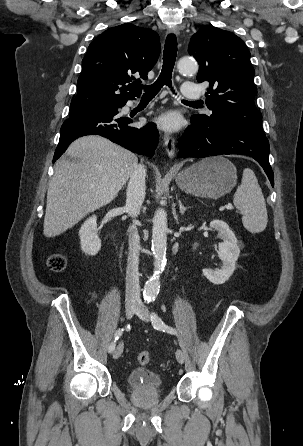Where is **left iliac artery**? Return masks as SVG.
<instances>
[{
    "label": "left iliac artery",
    "mask_w": 303,
    "mask_h": 446,
    "mask_svg": "<svg viewBox=\"0 0 303 446\" xmlns=\"http://www.w3.org/2000/svg\"><path fill=\"white\" fill-rule=\"evenodd\" d=\"M150 302H152V300H149ZM151 321H152V325L155 329L157 330H162L164 332L170 333V334H176V330L168 325H166L161 318L156 314V313H152L151 315Z\"/></svg>",
    "instance_id": "left-iliac-artery-1"
}]
</instances>
